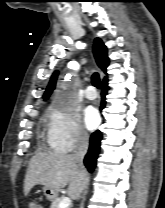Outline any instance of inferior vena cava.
Masks as SVG:
<instances>
[{"label": "inferior vena cava", "instance_id": "inferior-vena-cava-1", "mask_svg": "<svg viewBox=\"0 0 165 208\" xmlns=\"http://www.w3.org/2000/svg\"><path fill=\"white\" fill-rule=\"evenodd\" d=\"M88 146H89V137L87 133L81 131L79 133L76 147L73 154L71 155V158L83 172H85L83 159L85 154L87 153Z\"/></svg>", "mask_w": 165, "mask_h": 208}]
</instances>
